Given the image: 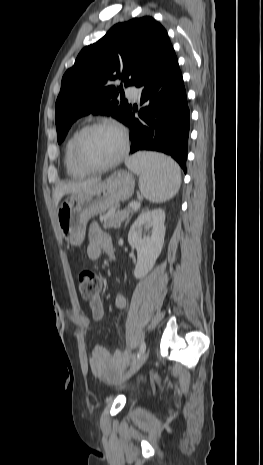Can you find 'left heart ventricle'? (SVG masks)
<instances>
[{
  "label": "left heart ventricle",
  "mask_w": 263,
  "mask_h": 465,
  "mask_svg": "<svg viewBox=\"0 0 263 465\" xmlns=\"http://www.w3.org/2000/svg\"><path fill=\"white\" fill-rule=\"evenodd\" d=\"M122 140L119 133L102 127L86 134L82 143V157L91 165H103L113 160L120 152Z\"/></svg>",
  "instance_id": "b2bd125f"
}]
</instances>
